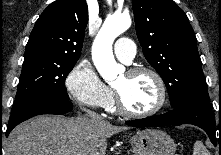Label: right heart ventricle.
<instances>
[{"label": "right heart ventricle", "mask_w": 221, "mask_h": 155, "mask_svg": "<svg viewBox=\"0 0 221 155\" xmlns=\"http://www.w3.org/2000/svg\"><path fill=\"white\" fill-rule=\"evenodd\" d=\"M109 111H115V106H114V98L113 95L111 93V97L107 103V105L105 106Z\"/></svg>", "instance_id": "e07e8e85"}]
</instances>
